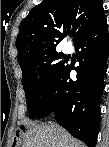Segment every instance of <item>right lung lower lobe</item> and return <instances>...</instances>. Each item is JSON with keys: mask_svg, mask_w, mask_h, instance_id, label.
<instances>
[{"mask_svg": "<svg viewBox=\"0 0 109 147\" xmlns=\"http://www.w3.org/2000/svg\"><path fill=\"white\" fill-rule=\"evenodd\" d=\"M108 30L103 16L75 43L79 66L65 65L36 118L54 113L57 122L73 137L94 147L99 132L100 98L107 69ZM77 79H70V71Z\"/></svg>", "mask_w": 109, "mask_h": 147, "instance_id": "1", "label": "right lung lower lobe"}]
</instances>
